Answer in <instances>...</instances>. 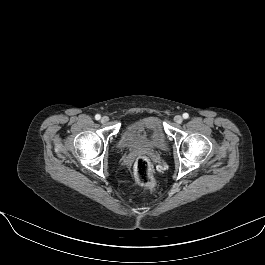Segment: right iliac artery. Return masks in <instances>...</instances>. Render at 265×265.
I'll use <instances>...</instances> for the list:
<instances>
[{
	"mask_svg": "<svg viewBox=\"0 0 265 265\" xmlns=\"http://www.w3.org/2000/svg\"><path fill=\"white\" fill-rule=\"evenodd\" d=\"M101 116L99 114L95 115L96 120H100Z\"/></svg>",
	"mask_w": 265,
	"mask_h": 265,
	"instance_id": "obj_1",
	"label": "right iliac artery"
}]
</instances>
